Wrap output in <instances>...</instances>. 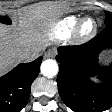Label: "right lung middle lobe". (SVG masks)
<instances>
[{
  "mask_svg": "<svg viewBox=\"0 0 112 112\" xmlns=\"http://www.w3.org/2000/svg\"><path fill=\"white\" fill-rule=\"evenodd\" d=\"M0 23L11 24V20L8 17H0Z\"/></svg>",
  "mask_w": 112,
  "mask_h": 112,
  "instance_id": "obj_1",
  "label": "right lung middle lobe"
}]
</instances>
